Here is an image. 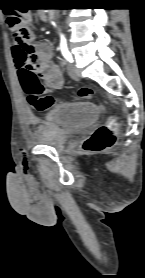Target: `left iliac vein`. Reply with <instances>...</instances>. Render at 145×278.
<instances>
[{
    "label": "left iliac vein",
    "mask_w": 145,
    "mask_h": 278,
    "mask_svg": "<svg viewBox=\"0 0 145 278\" xmlns=\"http://www.w3.org/2000/svg\"><path fill=\"white\" fill-rule=\"evenodd\" d=\"M67 71L71 78H73L75 80H78L80 78V73L73 63L67 64Z\"/></svg>",
    "instance_id": "1"
}]
</instances>
